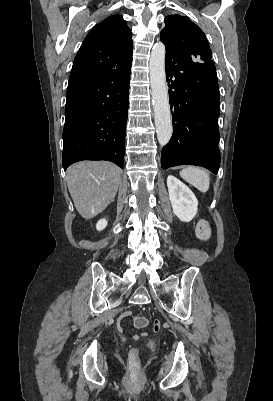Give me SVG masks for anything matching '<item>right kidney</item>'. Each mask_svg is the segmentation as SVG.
Segmentation results:
<instances>
[{"label":"right kidney","mask_w":273,"mask_h":401,"mask_svg":"<svg viewBox=\"0 0 273 401\" xmlns=\"http://www.w3.org/2000/svg\"><path fill=\"white\" fill-rule=\"evenodd\" d=\"M105 227H107L106 219H100V221H98V223L96 225L97 231H103V229H105Z\"/></svg>","instance_id":"obj_1"}]
</instances>
